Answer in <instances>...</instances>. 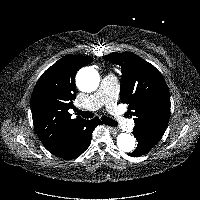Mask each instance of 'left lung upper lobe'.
<instances>
[{"mask_svg":"<svg viewBox=\"0 0 200 200\" xmlns=\"http://www.w3.org/2000/svg\"><path fill=\"white\" fill-rule=\"evenodd\" d=\"M105 60L121 66L120 99L129 104L135 131L161 139L170 118V93L161 73L131 52L111 53Z\"/></svg>","mask_w":200,"mask_h":200,"instance_id":"1","label":"left lung upper lobe"}]
</instances>
